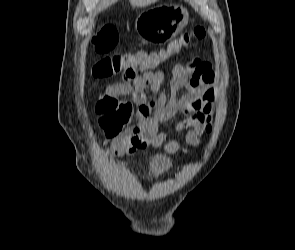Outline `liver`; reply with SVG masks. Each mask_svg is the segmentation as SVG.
I'll list each match as a JSON object with an SVG mask.
<instances>
[{
    "label": "liver",
    "mask_w": 295,
    "mask_h": 250,
    "mask_svg": "<svg viewBox=\"0 0 295 250\" xmlns=\"http://www.w3.org/2000/svg\"><path fill=\"white\" fill-rule=\"evenodd\" d=\"M157 0H130V3L136 7H146L155 3Z\"/></svg>",
    "instance_id": "liver-1"
}]
</instances>
